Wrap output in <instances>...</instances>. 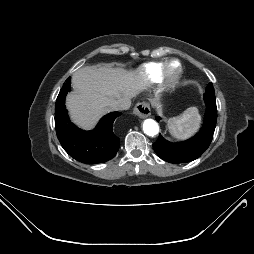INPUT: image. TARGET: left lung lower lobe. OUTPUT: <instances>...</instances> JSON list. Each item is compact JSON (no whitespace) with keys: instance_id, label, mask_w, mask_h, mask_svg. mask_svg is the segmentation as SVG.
Here are the masks:
<instances>
[{"instance_id":"1","label":"left lung lower lobe","mask_w":254,"mask_h":254,"mask_svg":"<svg viewBox=\"0 0 254 254\" xmlns=\"http://www.w3.org/2000/svg\"><path fill=\"white\" fill-rule=\"evenodd\" d=\"M204 100L206 103V113L201 131L195 137L180 143H170L160 135L158 140L153 144V149L161 159L169 163L191 162L200 157L209 147L217 120L214 90L206 89ZM160 119L159 116L156 117L157 121Z\"/></svg>"}]
</instances>
